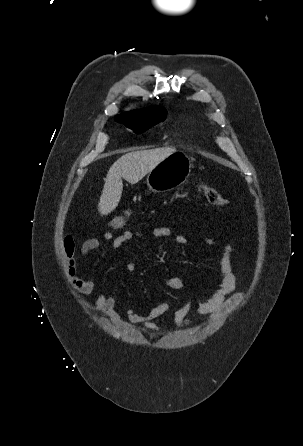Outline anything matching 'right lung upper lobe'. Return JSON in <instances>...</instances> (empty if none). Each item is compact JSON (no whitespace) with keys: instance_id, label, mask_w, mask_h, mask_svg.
<instances>
[{"instance_id":"right-lung-upper-lobe-1","label":"right lung upper lobe","mask_w":303,"mask_h":446,"mask_svg":"<svg viewBox=\"0 0 303 446\" xmlns=\"http://www.w3.org/2000/svg\"><path fill=\"white\" fill-rule=\"evenodd\" d=\"M158 109H162V108L154 106V107H150L148 109H144V110H140V111H133V112L122 114V115H126V116H139V115H145V114L152 113V112H154L155 110H158Z\"/></svg>"}]
</instances>
